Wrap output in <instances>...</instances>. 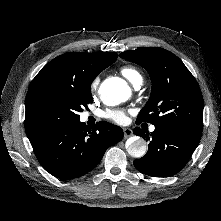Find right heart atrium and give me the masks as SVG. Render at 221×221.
Instances as JSON below:
<instances>
[{"label": "right heart atrium", "instance_id": "d8ad5b80", "mask_svg": "<svg viewBox=\"0 0 221 221\" xmlns=\"http://www.w3.org/2000/svg\"><path fill=\"white\" fill-rule=\"evenodd\" d=\"M99 78L96 77L95 79H93V81L91 82V85H90V88L92 91H95L98 87V84H99Z\"/></svg>", "mask_w": 221, "mask_h": 221}]
</instances>
